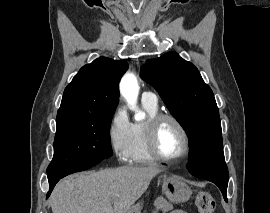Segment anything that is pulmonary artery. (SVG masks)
I'll return each instance as SVG.
<instances>
[{
    "mask_svg": "<svg viewBox=\"0 0 270 213\" xmlns=\"http://www.w3.org/2000/svg\"><path fill=\"white\" fill-rule=\"evenodd\" d=\"M141 98H142V101L144 102L157 105V97L154 93L150 91L143 92Z\"/></svg>",
    "mask_w": 270,
    "mask_h": 213,
    "instance_id": "obj_1",
    "label": "pulmonary artery"
}]
</instances>
